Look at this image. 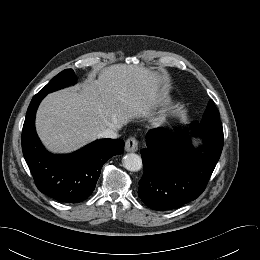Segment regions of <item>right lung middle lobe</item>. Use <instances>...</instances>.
<instances>
[{"label": "right lung middle lobe", "instance_id": "dd1d6c3e", "mask_svg": "<svg viewBox=\"0 0 260 260\" xmlns=\"http://www.w3.org/2000/svg\"><path fill=\"white\" fill-rule=\"evenodd\" d=\"M76 76L72 69H66L52 78L38 93H50L76 83Z\"/></svg>", "mask_w": 260, "mask_h": 260}]
</instances>
